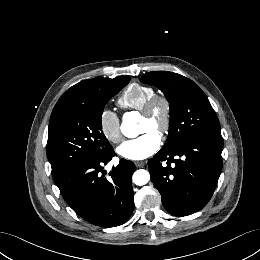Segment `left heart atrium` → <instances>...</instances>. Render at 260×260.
Returning <instances> with one entry per match:
<instances>
[{
  "label": "left heart atrium",
  "mask_w": 260,
  "mask_h": 260,
  "mask_svg": "<svg viewBox=\"0 0 260 260\" xmlns=\"http://www.w3.org/2000/svg\"><path fill=\"white\" fill-rule=\"evenodd\" d=\"M161 145L156 131L148 130L141 136L124 141L117 149L118 154L129 160H143L154 154Z\"/></svg>",
  "instance_id": "39dd6f15"
}]
</instances>
